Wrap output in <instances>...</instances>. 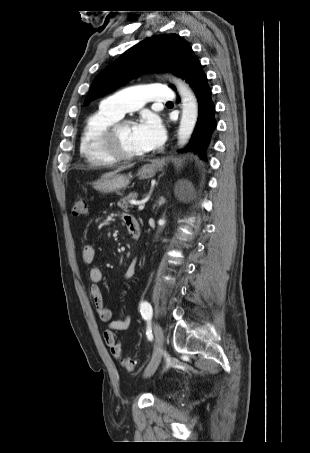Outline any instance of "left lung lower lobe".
I'll return each mask as SVG.
<instances>
[{"label":"left lung lower lobe","mask_w":310,"mask_h":453,"mask_svg":"<svg viewBox=\"0 0 310 453\" xmlns=\"http://www.w3.org/2000/svg\"><path fill=\"white\" fill-rule=\"evenodd\" d=\"M181 77L190 84L196 94L199 116L190 143L180 152L192 151L205 159V151L209 145L211 133L216 127L215 106L211 100L207 77L194 53L188 59Z\"/></svg>","instance_id":"left-lung-lower-lobe-1"}]
</instances>
